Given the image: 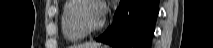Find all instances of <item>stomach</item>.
I'll return each mask as SVG.
<instances>
[{"label": "stomach", "mask_w": 213, "mask_h": 48, "mask_svg": "<svg viewBox=\"0 0 213 48\" xmlns=\"http://www.w3.org/2000/svg\"><path fill=\"white\" fill-rule=\"evenodd\" d=\"M98 48H107V47H98Z\"/></svg>", "instance_id": "0dacf381"}]
</instances>
